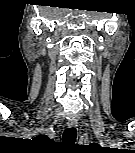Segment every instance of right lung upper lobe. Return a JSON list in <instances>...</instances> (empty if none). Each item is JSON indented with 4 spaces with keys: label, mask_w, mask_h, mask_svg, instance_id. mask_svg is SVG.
<instances>
[{
    "label": "right lung upper lobe",
    "mask_w": 135,
    "mask_h": 153,
    "mask_svg": "<svg viewBox=\"0 0 135 153\" xmlns=\"http://www.w3.org/2000/svg\"><path fill=\"white\" fill-rule=\"evenodd\" d=\"M35 139H37V140H50L47 136H45V135H39V136H37Z\"/></svg>",
    "instance_id": "cb5924a9"
}]
</instances>
